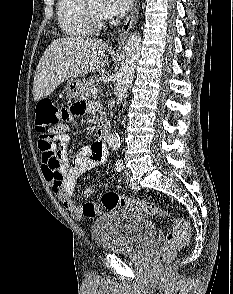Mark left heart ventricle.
Listing matches in <instances>:
<instances>
[{
  "mask_svg": "<svg viewBox=\"0 0 233 294\" xmlns=\"http://www.w3.org/2000/svg\"><path fill=\"white\" fill-rule=\"evenodd\" d=\"M91 7L96 12L104 14L105 2H103V1L94 2V3L91 4Z\"/></svg>",
  "mask_w": 233,
  "mask_h": 294,
  "instance_id": "left-heart-ventricle-1",
  "label": "left heart ventricle"
}]
</instances>
